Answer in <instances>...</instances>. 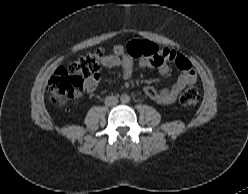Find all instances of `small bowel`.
Instances as JSON below:
<instances>
[{"label": "small bowel", "instance_id": "small-bowel-1", "mask_svg": "<svg viewBox=\"0 0 248 194\" xmlns=\"http://www.w3.org/2000/svg\"><path fill=\"white\" fill-rule=\"evenodd\" d=\"M173 51L170 50H164L160 52L156 56H151L149 58H144L140 61L141 66H157L158 72L161 75H167L170 71V67L168 64L165 63V61L158 63L157 60L159 58H165L169 54H171ZM180 61L178 59H175L174 63L175 65L181 70V75L177 79L176 82L172 84L171 87L168 89L163 90H156L152 86H145L144 92L145 94L153 99L154 101L163 104L168 105L173 103L179 93L190 84H194L197 80L195 71L192 68L191 63L184 57ZM103 66L105 68H114V67H120L123 72V76L128 78L132 74L133 68H134V61L132 56L129 54L127 47L123 45H116L114 46L112 53L104 58ZM99 83V77H89L85 79L84 81V88L83 90L86 93H92L95 91Z\"/></svg>", "mask_w": 248, "mask_h": 194}]
</instances>
